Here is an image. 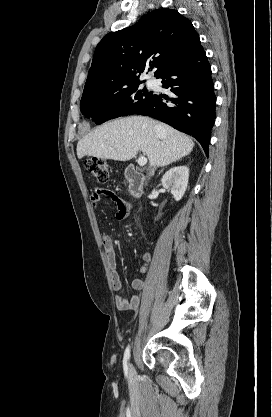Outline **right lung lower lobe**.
Masks as SVG:
<instances>
[{"label":"right lung lower lobe","instance_id":"obj_1","mask_svg":"<svg viewBox=\"0 0 272 417\" xmlns=\"http://www.w3.org/2000/svg\"><path fill=\"white\" fill-rule=\"evenodd\" d=\"M157 78L171 94H154L149 102L134 114L163 121L175 129L192 135L208 155L211 130L215 121L216 96L211 68L199 43L181 62Z\"/></svg>","mask_w":272,"mask_h":417}]
</instances>
